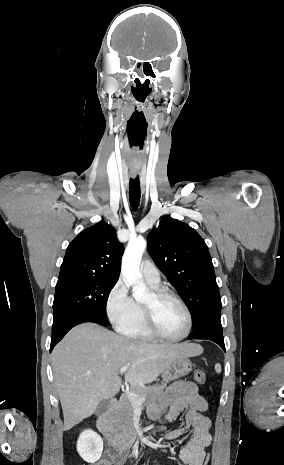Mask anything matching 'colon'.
<instances>
[{
	"mask_svg": "<svg viewBox=\"0 0 284 465\" xmlns=\"http://www.w3.org/2000/svg\"><path fill=\"white\" fill-rule=\"evenodd\" d=\"M194 379H195V381H196L197 383L202 384V383H205V382H206L207 377H206L205 372H204L203 370H200V369H199V370H196V371L194 372ZM210 457H211V454H210V453H207V454H206V457H205V459H204L205 462H204L203 465H210V464H209V462H210V460H211Z\"/></svg>",
	"mask_w": 284,
	"mask_h": 465,
	"instance_id": "colon-1",
	"label": "colon"
}]
</instances>
